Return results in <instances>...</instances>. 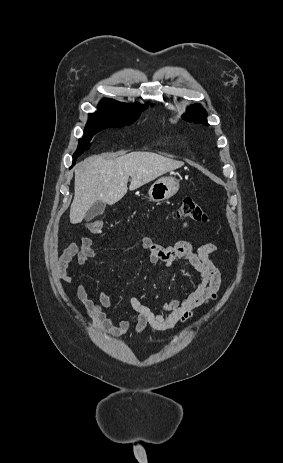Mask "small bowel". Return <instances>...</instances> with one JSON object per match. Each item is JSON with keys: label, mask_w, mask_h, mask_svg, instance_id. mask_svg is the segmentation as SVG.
<instances>
[{"label": "small bowel", "mask_w": 283, "mask_h": 463, "mask_svg": "<svg viewBox=\"0 0 283 463\" xmlns=\"http://www.w3.org/2000/svg\"><path fill=\"white\" fill-rule=\"evenodd\" d=\"M186 227V224H183ZM141 247L149 252L150 264L162 263L170 266L176 259L187 261L199 274L197 286L183 298L164 302L161 312H157L141 303L137 298L130 300V306L137 313L138 319L135 332L140 334L149 328L152 332L167 331L175 328L179 323L189 319L200 306L214 300L221 286V272L211 260V255L217 250L215 244L206 243L194 249L188 241H180L173 246H162L155 243L149 236L141 235ZM96 256L89 238H83L80 245L70 243L57 261L60 278L66 283H72L70 266L75 260L80 267H87L91 258ZM78 299L84 304L87 313L95 324L105 329L113 336H120L129 330V322L120 319L114 324L103 312L112 308L110 298L100 292L96 299L90 298L83 283L76 288Z\"/></svg>", "instance_id": "1"}]
</instances>
